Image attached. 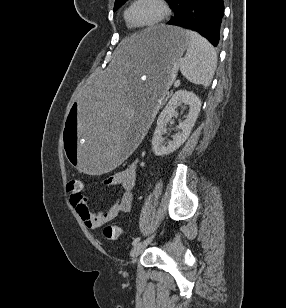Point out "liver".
I'll list each match as a JSON object with an SVG mask.
<instances>
[{"mask_svg": "<svg viewBox=\"0 0 286 308\" xmlns=\"http://www.w3.org/2000/svg\"><path fill=\"white\" fill-rule=\"evenodd\" d=\"M142 37L143 35L140 32L124 39L115 51L113 64L126 61L133 57L138 49V45L141 42Z\"/></svg>", "mask_w": 286, "mask_h": 308, "instance_id": "1", "label": "liver"}]
</instances>
